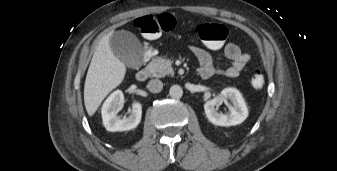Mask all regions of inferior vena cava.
Wrapping results in <instances>:
<instances>
[{
	"mask_svg": "<svg viewBox=\"0 0 337 171\" xmlns=\"http://www.w3.org/2000/svg\"><path fill=\"white\" fill-rule=\"evenodd\" d=\"M147 88L152 93H159L163 88V83L159 79H152L148 82Z\"/></svg>",
	"mask_w": 337,
	"mask_h": 171,
	"instance_id": "1",
	"label": "inferior vena cava"
}]
</instances>
